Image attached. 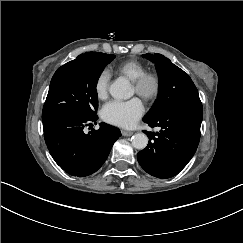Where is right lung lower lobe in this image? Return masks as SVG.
Returning <instances> with one entry per match:
<instances>
[{
	"mask_svg": "<svg viewBox=\"0 0 243 243\" xmlns=\"http://www.w3.org/2000/svg\"><path fill=\"white\" fill-rule=\"evenodd\" d=\"M98 119L79 114H66L43 123L44 138L55 162L72 176H88L107 159L120 130L100 123L98 130L85 134L83 129Z\"/></svg>",
	"mask_w": 243,
	"mask_h": 243,
	"instance_id": "right-lung-lower-lobe-1",
	"label": "right lung lower lobe"
}]
</instances>
